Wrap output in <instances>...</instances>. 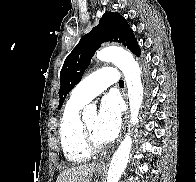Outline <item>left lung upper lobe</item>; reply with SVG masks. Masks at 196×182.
<instances>
[{"instance_id":"5c2ea615","label":"left lung upper lobe","mask_w":196,"mask_h":182,"mask_svg":"<svg viewBox=\"0 0 196 182\" xmlns=\"http://www.w3.org/2000/svg\"><path fill=\"white\" fill-rule=\"evenodd\" d=\"M111 41L122 43L136 56H140L138 42L126 19L118 12H105L99 24L81 38L63 64L60 72L59 109L67 94L80 82L95 51L102 43Z\"/></svg>"}]
</instances>
